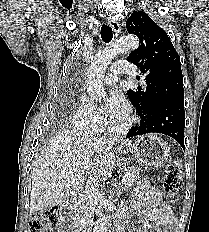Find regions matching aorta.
<instances>
[{"mask_svg": "<svg viewBox=\"0 0 209 232\" xmlns=\"http://www.w3.org/2000/svg\"><path fill=\"white\" fill-rule=\"evenodd\" d=\"M138 46V38L134 35L127 34L116 40L109 48L98 52L87 72L86 87L91 97L96 100H101L106 96L103 77L111 60L117 54L135 50ZM108 221V215L102 214L96 221L93 232H107Z\"/></svg>", "mask_w": 209, "mask_h": 232, "instance_id": "obj_1", "label": "aorta"}]
</instances>
